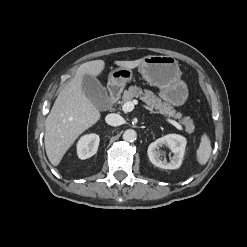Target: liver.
<instances>
[{"label": "liver", "mask_w": 247, "mask_h": 247, "mask_svg": "<svg viewBox=\"0 0 247 247\" xmlns=\"http://www.w3.org/2000/svg\"><path fill=\"white\" fill-rule=\"evenodd\" d=\"M142 63L115 61L119 67L133 69ZM103 60H94L79 66L75 76L58 94L45 121V149L52 165L57 166L75 140L101 117L97 107L87 98L82 82L84 75L95 77L104 70Z\"/></svg>", "instance_id": "liver-1"}]
</instances>
